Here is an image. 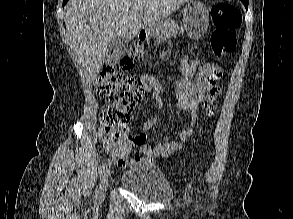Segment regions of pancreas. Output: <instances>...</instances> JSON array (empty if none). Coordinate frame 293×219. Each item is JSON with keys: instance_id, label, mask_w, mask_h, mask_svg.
Instances as JSON below:
<instances>
[{"instance_id": "pancreas-1", "label": "pancreas", "mask_w": 293, "mask_h": 219, "mask_svg": "<svg viewBox=\"0 0 293 219\" xmlns=\"http://www.w3.org/2000/svg\"><path fill=\"white\" fill-rule=\"evenodd\" d=\"M171 34L174 35L178 32H183V28L179 27L178 24H173L170 26ZM168 38V35H161L157 38V42L160 43L161 41H165Z\"/></svg>"}]
</instances>
